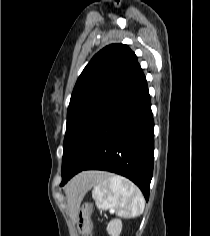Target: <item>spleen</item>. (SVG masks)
I'll list each match as a JSON object with an SVG mask.
<instances>
[{
	"instance_id": "1",
	"label": "spleen",
	"mask_w": 210,
	"mask_h": 236,
	"mask_svg": "<svg viewBox=\"0 0 210 236\" xmlns=\"http://www.w3.org/2000/svg\"><path fill=\"white\" fill-rule=\"evenodd\" d=\"M92 186V197L99 209H115L116 214L124 218L137 217L144 210L141 192L128 179L104 173Z\"/></svg>"
}]
</instances>
